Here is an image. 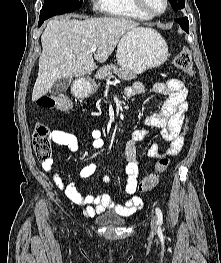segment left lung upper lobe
Returning <instances> with one entry per match:
<instances>
[{"mask_svg":"<svg viewBox=\"0 0 221 263\" xmlns=\"http://www.w3.org/2000/svg\"><path fill=\"white\" fill-rule=\"evenodd\" d=\"M172 8L174 11H178L180 9H183L185 7L184 0H169Z\"/></svg>","mask_w":221,"mask_h":263,"instance_id":"1","label":"left lung upper lobe"}]
</instances>
